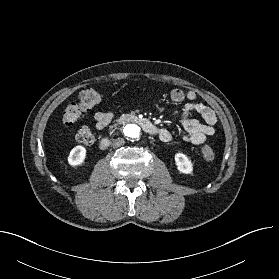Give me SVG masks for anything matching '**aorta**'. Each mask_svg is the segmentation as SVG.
Returning <instances> with one entry per match:
<instances>
[{
	"label": "aorta",
	"instance_id": "obj_1",
	"mask_svg": "<svg viewBox=\"0 0 279 279\" xmlns=\"http://www.w3.org/2000/svg\"><path fill=\"white\" fill-rule=\"evenodd\" d=\"M123 133L129 139H137L140 135V127L136 124H127L123 129Z\"/></svg>",
	"mask_w": 279,
	"mask_h": 279
}]
</instances>
